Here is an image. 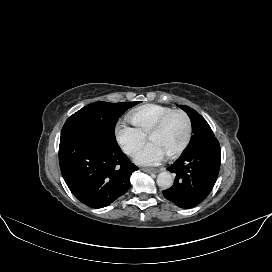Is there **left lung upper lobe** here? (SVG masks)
<instances>
[{"instance_id":"1","label":"left lung upper lobe","mask_w":272,"mask_h":272,"mask_svg":"<svg viewBox=\"0 0 272 272\" xmlns=\"http://www.w3.org/2000/svg\"><path fill=\"white\" fill-rule=\"evenodd\" d=\"M179 107L189 115L192 122V130L194 134L191 137V141L187 149H191L215 139V135L209 124L199 113L186 105H179Z\"/></svg>"}]
</instances>
